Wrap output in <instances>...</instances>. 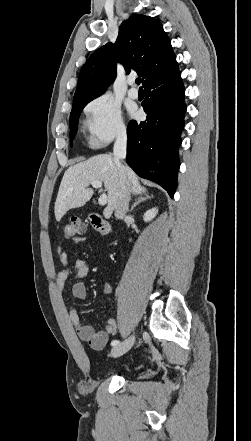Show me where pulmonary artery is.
<instances>
[{
  "label": "pulmonary artery",
  "instance_id": "pulmonary-artery-1",
  "mask_svg": "<svg viewBox=\"0 0 251 441\" xmlns=\"http://www.w3.org/2000/svg\"><path fill=\"white\" fill-rule=\"evenodd\" d=\"M128 84L130 85V88L128 90V96L132 99L138 98V90L134 87L135 79L133 77L128 79Z\"/></svg>",
  "mask_w": 251,
  "mask_h": 441
}]
</instances>
